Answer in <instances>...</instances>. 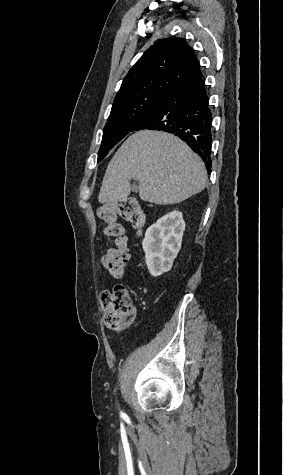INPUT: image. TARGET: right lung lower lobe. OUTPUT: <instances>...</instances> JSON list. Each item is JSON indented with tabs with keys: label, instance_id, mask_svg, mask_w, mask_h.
Wrapping results in <instances>:
<instances>
[{
	"label": "right lung lower lobe",
	"instance_id": "right-lung-lower-lobe-1",
	"mask_svg": "<svg viewBox=\"0 0 283 475\" xmlns=\"http://www.w3.org/2000/svg\"><path fill=\"white\" fill-rule=\"evenodd\" d=\"M142 129L161 130L178 136L202 158L206 168H210L212 110L203 77L174 88L132 131Z\"/></svg>",
	"mask_w": 283,
	"mask_h": 475
}]
</instances>
